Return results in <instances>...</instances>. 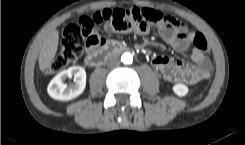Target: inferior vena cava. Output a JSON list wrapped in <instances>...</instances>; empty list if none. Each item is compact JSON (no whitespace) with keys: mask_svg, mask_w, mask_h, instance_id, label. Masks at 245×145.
I'll return each mask as SVG.
<instances>
[{"mask_svg":"<svg viewBox=\"0 0 245 145\" xmlns=\"http://www.w3.org/2000/svg\"><path fill=\"white\" fill-rule=\"evenodd\" d=\"M119 64H120V61H119V58L117 57H112L108 61L109 67H115V66H118Z\"/></svg>","mask_w":245,"mask_h":145,"instance_id":"obj_1","label":"inferior vena cava"}]
</instances>
